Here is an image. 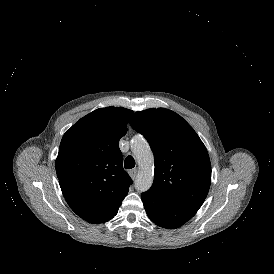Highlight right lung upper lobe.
<instances>
[{
    "mask_svg": "<svg viewBox=\"0 0 274 274\" xmlns=\"http://www.w3.org/2000/svg\"><path fill=\"white\" fill-rule=\"evenodd\" d=\"M132 114L122 107L99 108L61 140L55 166L62 193L70 208L90 223L113 218L132 184L119 149Z\"/></svg>",
    "mask_w": 274,
    "mask_h": 274,
    "instance_id": "obj_1",
    "label": "right lung upper lobe"
}]
</instances>
